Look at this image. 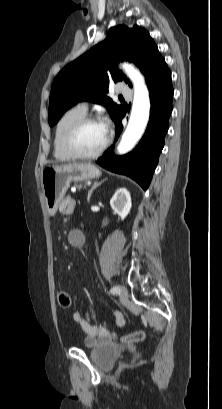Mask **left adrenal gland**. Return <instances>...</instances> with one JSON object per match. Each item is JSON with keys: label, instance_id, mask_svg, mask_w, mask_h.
<instances>
[{"label": "left adrenal gland", "instance_id": "a2214340", "mask_svg": "<svg viewBox=\"0 0 222 409\" xmlns=\"http://www.w3.org/2000/svg\"><path fill=\"white\" fill-rule=\"evenodd\" d=\"M104 181H105V180H102V181H100V182H98V181L94 182V184L92 185L91 189H90L89 192H88V197H87V201H88V202H90V198H91L92 192H93L98 186H100Z\"/></svg>", "mask_w": 222, "mask_h": 409}]
</instances>
